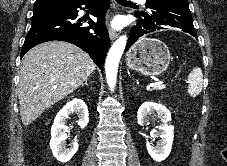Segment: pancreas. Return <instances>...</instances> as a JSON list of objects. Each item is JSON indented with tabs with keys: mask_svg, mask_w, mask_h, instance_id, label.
Returning <instances> with one entry per match:
<instances>
[{
	"mask_svg": "<svg viewBox=\"0 0 227 166\" xmlns=\"http://www.w3.org/2000/svg\"><path fill=\"white\" fill-rule=\"evenodd\" d=\"M165 88H166V85H158L153 87L154 90H163Z\"/></svg>",
	"mask_w": 227,
	"mask_h": 166,
	"instance_id": "pancreas-1",
	"label": "pancreas"
}]
</instances>
